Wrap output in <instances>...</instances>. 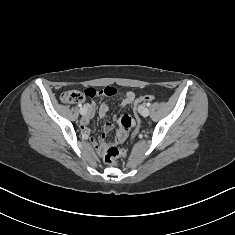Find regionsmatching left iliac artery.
Here are the masks:
<instances>
[{"label":"left iliac artery","mask_w":235,"mask_h":235,"mask_svg":"<svg viewBox=\"0 0 235 235\" xmlns=\"http://www.w3.org/2000/svg\"><path fill=\"white\" fill-rule=\"evenodd\" d=\"M146 105L149 107L151 104H150V103H147Z\"/></svg>","instance_id":"44dca946"}]
</instances>
